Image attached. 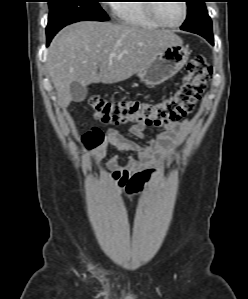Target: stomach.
Wrapping results in <instances>:
<instances>
[{
    "mask_svg": "<svg viewBox=\"0 0 248 299\" xmlns=\"http://www.w3.org/2000/svg\"><path fill=\"white\" fill-rule=\"evenodd\" d=\"M189 50L182 44L170 45L162 50L155 59L137 73L146 85H159L178 73L187 63Z\"/></svg>",
    "mask_w": 248,
    "mask_h": 299,
    "instance_id": "stomach-1",
    "label": "stomach"
}]
</instances>
